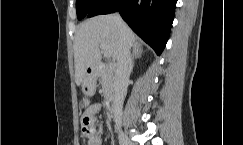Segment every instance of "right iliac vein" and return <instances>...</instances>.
Returning <instances> with one entry per match:
<instances>
[{"instance_id":"1","label":"right iliac vein","mask_w":243,"mask_h":145,"mask_svg":"<svg viewBox=\"0 0 243 145\" xmlns=\"http://www.w3.org/2000/svg\"><path fill=\"white\" fill-rule=\"evenodd\" d=\"M119 140H120V144L121 145H135L134 143H132L127 136L125 135H120L119 136Z\"/></svg>"}]
</instances>
